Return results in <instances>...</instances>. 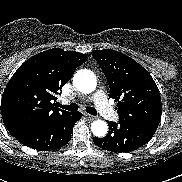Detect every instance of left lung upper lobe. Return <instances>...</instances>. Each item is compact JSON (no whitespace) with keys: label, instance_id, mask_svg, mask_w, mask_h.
<instances>
[{"label":"left lung upper lobe","instance_id":"1","mask_svg":"<svg viewBox=\"0 0 182 182\" xmlns=\"http://www.w3.org/2000/svg\"><path fill=\"white\" fill-rule=\"evenodd\" d=\"M92 56L102 68L117 101L119 120L158 127L162 104L159 89L149 72L132 58L111 49L95 50Z\"/></svg>","mask_w":182,"mask_h":182}]
</instances>
